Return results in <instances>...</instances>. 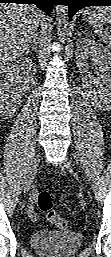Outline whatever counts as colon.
Listing matches in <instances>:
<instances>
[{
  "mask_svg": "<svg viewBox=\"0 0 111 257\" xmlns=\"http://www.w3.org/2000/svg\"><path fill=\"white\" fill-rule=\"evenodd\" d=\"M37 205L47 220L61 230H69L71 223L62 218L53 208L52 196L48 191H40L37 195Z\"/></svg>",
  "mask_w": 111,
  "mask_h": 257,
  "instance_id": "5ec220e1",
  "label": "colon"
}]
</instances>
